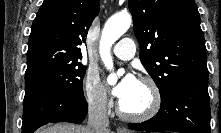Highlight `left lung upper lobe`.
<instances>
[{
	"label": "left lung upper lobe",
	"mask_w": 221,
	"mask_h": 133,
	"mask_svg": "<svg viewBox=\"0 0 221 133\" xmlns=\"http://www.w3.org/2000/svg\"><path fill=\"white\" fill-rule=\"evenodd\" d=\"M140 60L165 96L187 79L208 80L207 50L194 0H129Z\"/></svg>",
	"instance_id": "5c2ea615"
}]
</instances>
